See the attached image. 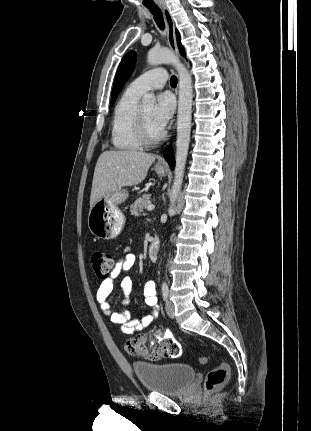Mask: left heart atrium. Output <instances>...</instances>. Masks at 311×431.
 <instances>
[{
	"label": "left heart atrium",
	"instance_id": "left-heart-atrium-1",
	"mask_svg": "<svg viewBox=\"0 0 311 431\" xmlns=\"http://www.w3.org/2000/svg\"><path fill=\"white\" fill-rule=\"evenodd\" d=\"M176 100L170 92L161 93L153 109V122L163 132V129L175 113Z\"/></svg>",
	"mask_w": 311,
	"mask_h": 431
}]
</instances>
